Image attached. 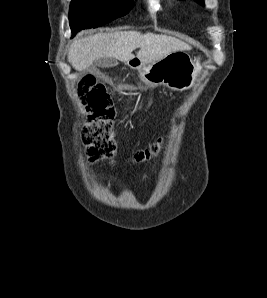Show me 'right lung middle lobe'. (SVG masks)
I'll list each match as a JSON object with an SVG mask.
<instances>
[{"label": "right lung middle lobe", "instance_id": "obj_1", "mask_svg": "<svg viewBox=\"0 0 267 298\" xmlns=\"http://www.w3.org/2000/svg\"><path fill=\"white\" fill-rule=\"evenodd\" d=\"M132 5L133 0H72L69 11L72 33L103 26L126 15Z\"/></svg>", "mask_w": 267, "mask_h": 298}]
</instances>
